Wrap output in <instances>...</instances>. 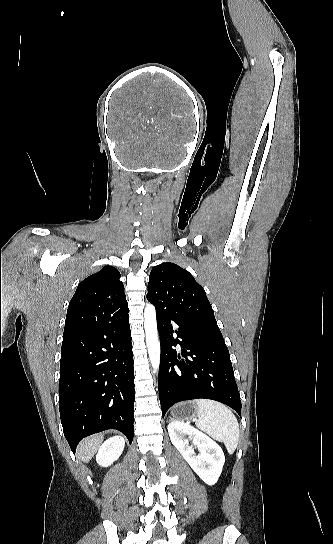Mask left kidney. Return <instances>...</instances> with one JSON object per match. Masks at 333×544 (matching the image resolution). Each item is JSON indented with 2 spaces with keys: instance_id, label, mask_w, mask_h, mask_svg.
I'll use <instances>...</instances> for the list:
<instances>
[{
  "instance_id": "5707ae66",
  "label": "left kidney",
  "mask_w": 333,
  "mask_h": 544,
  "mask_svg": "<svg viewBox=\"0 0 333 544\" xmlns=\"http://www.w3.org/2000/svg\"><path fill=\"white\" fill-rule=\"evenodd\" d=\"M172 444L181 453L194 472L208 485H214L222 472L225 456L221 447L209 436L189 424L173 421L168 425ZM188 436V438H187ZM193 440L199 454L194 452Z\"/></svg>"
}]
</instances>
